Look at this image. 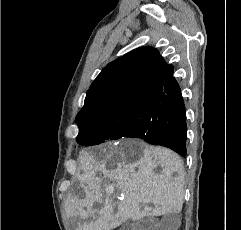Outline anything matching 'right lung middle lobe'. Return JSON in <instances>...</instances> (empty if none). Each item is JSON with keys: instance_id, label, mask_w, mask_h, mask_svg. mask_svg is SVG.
Wrapping results in <instances>:
<instances>
[{"instance_id": "dd1d6c3e", "label": "right lung middle lobe", "mask_w": 241, "mask_h": 230, "mask_svg": "<svg viewBox=\"0 0 241 230\" xmlns=\"http://www.w3.org/2000/svg\"><path fill=\"white\" fill-rule=\"evenodd\" d=\"M150 104L133 109L113 110L101 120L78 123L79 134L76 141L84 146H92L130 137L129 135L125 136L124 133H135L149 126L150 120L145 118L144 112Z\"/></svg>"}]
</instances>
